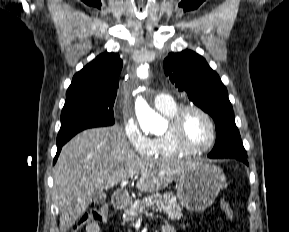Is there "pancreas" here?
Here are the masks:
<instances>
[{"label": "pancreas", "mask_w": 289, "mask_h": 232, "mask_svg": "<svg viewBox=\"0 0 289 232\" xmlns=\"http://www.w3.org/2000/svg\"><path fill=\"white\" fill-rule=\"evenodd\" d=\"M149 207H152L156 211H163L171 220H179L182 217L181 208L177 204L175 197L154 194L143 198L142 200L135 201L127 209H125L124 220L132 221L138 216L139 213L146 212L145 209Z\"/></svg>", "instance_id": "1"}]
</instances>
